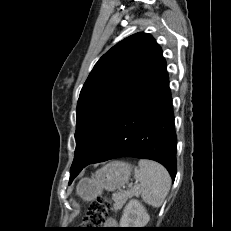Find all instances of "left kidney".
<instances>
[{"label": "left kidney", "instance_id": "obj_1", "mask_svg": "<svg viewBox=\"0 0 231 231\" xmlns=\"http://www.w3.org/2000/svg\"><path fill=\"white\" fill-rule=\"evenodd\" d=\"M150 217L144 206L138 200H130L123 210L120 220L121 228H143Z\"/></svg>", "mask_w": 231, "mask_h": 231}]
</instances>
